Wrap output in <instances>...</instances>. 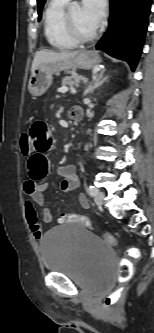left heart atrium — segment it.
<instances>
[{
  "label": "left heart atrium",
  "mask_w": 154,
  "mask_h": 333,
  "mask_svg": "<svg viewBox=\"0 0 154 333\" xmlns=\"http://www.w3.org/2000/svg\"><path fill=\"white\" fill-rule=\"evenodd\" d=\"M81 9L85 21L97 29L104 17L105 0H83Z\"/></svg>",
  "instance_id": "39dd6f15"
}]
</instances>
